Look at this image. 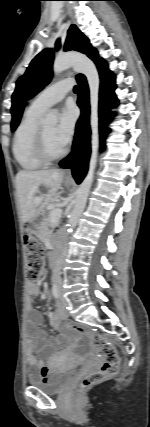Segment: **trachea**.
I'll use <instances>...</instances> for the list:
<instances>
[{
	"label": "trachea",
	"mask_w": 150,
	"mask_h": 427,
	"mask_svg": "<svg viewBox=\"0 0 150 427\" xmlns=\"http://www.w3.org/2000/svg\"><path fill=\"white\" fill-rule=\"evenodd\" d=\"M79 90H80L79 86H78V85H76V86L74 87V92L78 93V92H79Z\"/></svg>",
	"instance_id": "trachea-1"
}]
</instances>
